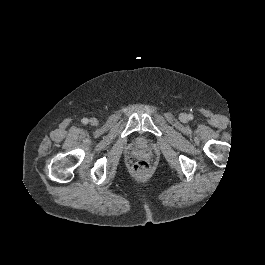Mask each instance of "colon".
<instances>
[{
    "label": "colon",
    "instance_id": "colon-1",
    "mask_svg": "<svg viewBox=\"0 0 265 265\" xmlns=\"http://www.w3.org/2000/svg\"><path fill=\"white\" fill-rule=\"evenodd\" d=\"M149 170V164L145 160H138L133 164V171L136 174H144Z\"/></svg>",
    "mask_w": 265,
    "mask_h": 265
}]
</instances>
